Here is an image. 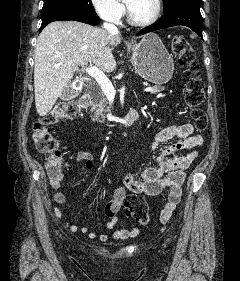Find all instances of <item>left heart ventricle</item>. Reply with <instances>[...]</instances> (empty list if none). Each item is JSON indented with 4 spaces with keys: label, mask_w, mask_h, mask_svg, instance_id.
Masks as SVG:
<instances>
[{
    "label": "left heart ventricle",
    "mask_w": 240,
    "mask_h": 281,
    "mask_svg": "<svg viewBox=\"0 0 240 281\" xmlns=\"http://www.w3.org/2000/svg\"><path fill=\"white\" fill-rule=\"evenodd\" d=\"M135 20H147L154 12V0H125Z\"/></svg>",
    "instance_id": "obj_1"
}]
</instances>
